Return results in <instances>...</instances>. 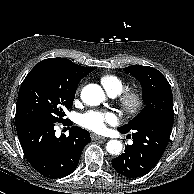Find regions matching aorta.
Instances as JSON below:
<instances>
[{
    "label": "aorta",
    "instance_id": "obj_1",
    "mask_svg": "<svg viewBox=\"0 0 194 194\" xmlns=\"http://www.w3.org/2000/svg\"><path fill=\"white\" fill-rule=\"evenodd\" d=\"M81 99L87 105L96 106L104 101L105 94L99 85L89 84L82 89ZM122 148L123 145L119 140H110L106 145L107 152L114 155L120 154Z\"/></svg>",
    "mask_w": 194,
    "mask_h": 194
}]
</instances>
